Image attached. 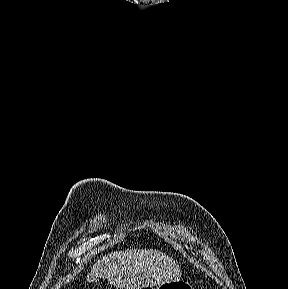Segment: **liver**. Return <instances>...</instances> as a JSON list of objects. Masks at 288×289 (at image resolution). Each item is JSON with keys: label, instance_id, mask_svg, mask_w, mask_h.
<instances>
[{"label": "liver", "instance_id": "6515ba94", "mask_svg": "<svg viewBox=\"0 0 288 289\" xmlns=\"http://www.w3.org/2000/svg\"><path fill=\"white\" fill-rule=\"evenodd\" d=\"M178 264L153 249L115 251L98 260L87 275L88 282L107 279L117 289H143L180 280Z\"/></svg>", "mask_w": 288, "mask_h": 289}]
</instances>
